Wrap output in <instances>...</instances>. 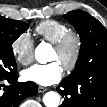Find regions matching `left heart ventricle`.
Segmentation results:
<instances>
[{
    "instance_id": "obj_1",
    "label": "left heart ventricle",
    "mask_w": 107,
    "mask_h": 107,
    "mask_svg": "<svg viewBox=\"0 0 107 107\" xmlns=\"http://www.w3.org/2000/svg\"><path fill=\"white\" fill-rule=\"evenodd\" d=\"M70 55H71L70 49L62 54L58 53L55 49H53V52L51 54V60L62 63L63 61H66L67 59H69Z\"/></svg>"
}]
</instances>
